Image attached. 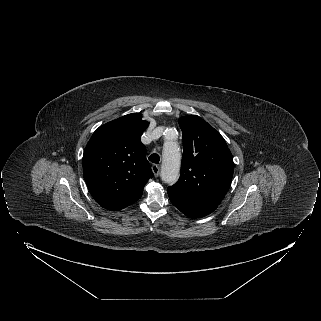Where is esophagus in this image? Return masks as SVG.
I'll return each instance as SVG.
<instances>
[{
    "instance_id": "34e87169",
    "label": "esophagus",
    "mask_w": 321,
    "mask_h": 321,
    "mask_svg": "<svg viewBox=\"0 0 321 321\" xmlns=\"http://www.w3.org/2000/svg\"><path fill=\"white\" fill-rule=\"evenodd\" d=\"M151 168H152V172L154 173V176H155V177H158L159 174H160V167H159V165L153 164Z\"/></svg>"
}]
</instances>
